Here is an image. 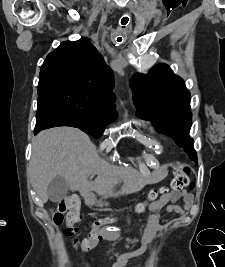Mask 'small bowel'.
I'll return each instance as SVG.
<instances>
[{
  "label": "small bowel",
  "instance_id": "c3829d8e",
  "mask_svg": "<svg viewBox=\"0 0 225 267\" xmlns=\"http://www.w3.org/2000/svg\"><path fill=\"white\" fill-rule=\"evenodd\" d=\"M179 199L182 200V204L181 205L175 204V202ZM192 205H193V195L187 191H183L181 193L177 192L169 193L163 196L154 204H152L150 207L151 215L149 216L148 219L149 233L147 237H145V239L142 242V245L138 249L132 252L122 254L118 258L117 262L113 265V267H125L131 258L141 256L146 252L150 243V238L152 233L160 229L159 219L162 210L164 208H165V214L175 213L179 216H182L188 209L191 208ZM111 236H113V233H111L110 231H105L102 234H98L93 238V245L95 246L103 238H108Z\"/></svg>",
  "mask_w": 225,
  "mask_h": 267
}]
</instances>
